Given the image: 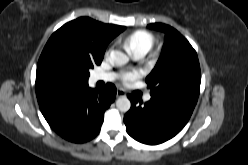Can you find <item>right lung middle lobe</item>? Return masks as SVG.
Here are the masks:
<instances>
[{"label":"right lung middle lobe","mask_w":248,"mask_h":165,"mask_svg":"<svg viewBox=\"0 0 248 165\" xmlns=\"http://www.w3.org/2000/svg\"><path fill=\"white\" fill-rule=\"evenodd\" d=\"M102 59L93 57L90 50L75 39L52 35L39 60L65 79L88 81L89 69L101 64Z\"/></svg>","instance_id":"1"}]
</instances>
